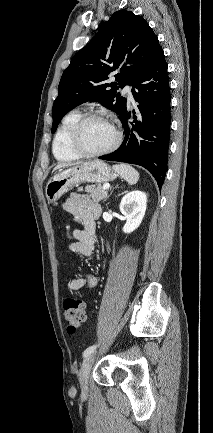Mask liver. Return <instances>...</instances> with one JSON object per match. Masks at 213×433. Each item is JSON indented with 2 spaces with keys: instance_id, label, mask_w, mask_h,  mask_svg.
I'll return each instance as SVG.
<instances>
[{
  "instance_id": "liver-1",
  "label": "liver",
  "mask_w": 213,
  "mask_h": 433,
  "mask_svg": "<svg viewBox=\"0 0 213 433\" xmlns=\"http://www.w3.org/2000/svg\"><path fill=\"white\" fill-rule=\"evenodd\" d=\"M72 164H59L55 167V169H60V168H64V167H68L71 166Z\"/></svg>"
}]
</instances>
